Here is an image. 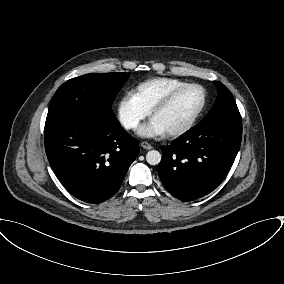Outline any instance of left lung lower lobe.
<instances>
[{
    "label": "left lung lower lobe",
    "instance_id": "1",
    "mask_svg": "<svg viewBox=\"0 0 284 284\" xmlns=\"http://www.w3.org/2000/svg\"><path fill=\"white\" fill-rule=\"evenodd\" d=\"M241 139V119L224 118L199 123L162 146L158 174L164 187L182 201L209 194L230 171Z\"/></svg>",
    "mask_w": 284,
    "mask_h": 284
}]
</instances>
